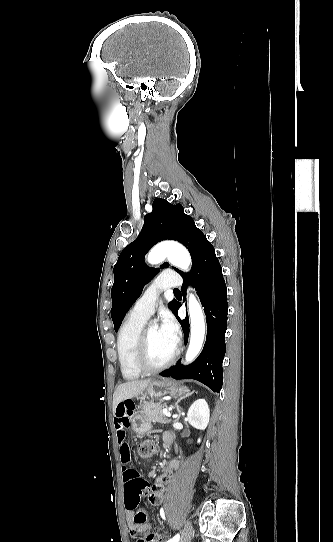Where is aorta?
Instances as JSON below:
<instances>
[{
	"instance_id": "762f6f07",
	"label": "aorta",
	"mask_w": 333,
	"mask_h": 542,
	"mask_svg": "<svg viewBox=\"0 0 333 542\" xmlns=\"http://www.w3.org/2000/svg\"><path fill=\"white\" fill-rule=\"evenodd\" d=\"M164 258H168L171 264L180 268V270H189L191 256L181 244L170 242L162 244L159 252L151 250L147 260L149 264H160ZM188 310L190 318V342L185 356V364H191L199 356L205 340V318L203 310L193 294L188 298Z\"/></svg>"
}]
</instances>
